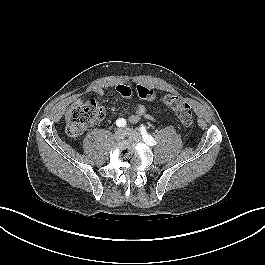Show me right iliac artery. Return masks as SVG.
<instances>
[{
  "label": "right iliac artery",
  "instance_id": "1",
  "mask_svg": "<svg viewBox=\"0 0 265 265\" xmlns=\"http://www.w3.org/2000/svg\"><path fill=\"white\" fill-rule=\"evenodd\" d=\"M116 125L118 127H124L126 125V120L123 118H119L116 120Z\"/></svg>",
  "mask_w": 265,
  "mask_h": 265
}]
</instances>
